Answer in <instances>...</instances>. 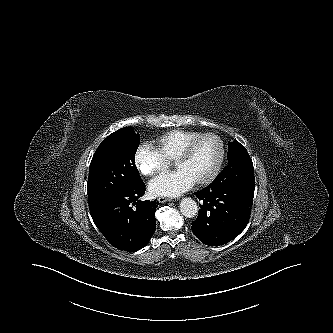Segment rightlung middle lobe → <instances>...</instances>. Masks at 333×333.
Returning <instances> with one entry per match:
<instances>
[{
  "label": "right lung middle lobe",
  "mask_w": 333,
  "mask_h": 333,
  "mask_svg": "<svg viewBox=\"0 0 333 333\" xmlns=\"http://www.w3.org/2000/svg\"><path fill=\"white\" fill-rule=\"evenodd\" d=\"M140 135L130 127L121 128L97 148L89 168L88 202L93 203L142 183L135 166Z\"/></svg>",
  "instance_id": "dd1d6c3e"
}]
</instances>
